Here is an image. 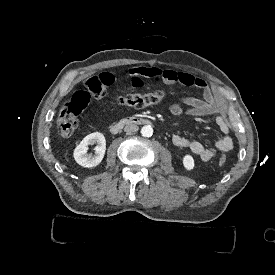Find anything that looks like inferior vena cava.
<instances>
[{"label": "inferior vena cava", "mask_w": 275, "mask_h": 275, "mask_svg": "<svg viewBox=\"0 0 275 275\" xmlns=\"http://www.w3.org/2000/svg\"><path fill=\"white\" fill-rule=\"evenodd\" d=\"M138 131V126L134 124H129L124 127V132L130 134Z\"/></svg>", "instance_id": "1"}]
</instances>
